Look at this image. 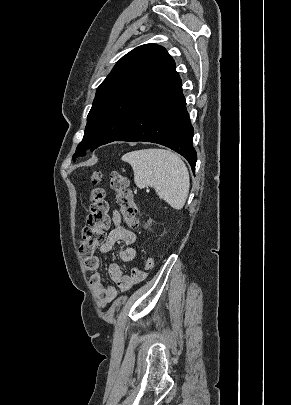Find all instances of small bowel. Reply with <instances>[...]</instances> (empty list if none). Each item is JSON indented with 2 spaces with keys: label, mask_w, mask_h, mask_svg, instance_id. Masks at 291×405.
Segmentation results:
<instances>
[{
  "label": "small bowel",
  "mask_w": 291,
  "mask_h": 405,
  "mask_svg": "<svg viewBox=\"0 0 291 405\" xmlns=\"http://www.w3.org/2000/svg\"><path fill=\"white\" fill-rule=\"evenodd\" d=\"M113 226L108 232L107 239L101 244L99 251L102 254H107L112 251L113 246L121 242L126 245L120 253L121 261L128 263L132 262L136 257V251L131 245L136 240V235L131 230L121 225V215L115 210L112 214ZM84 267L91 272L90 284L96 295L97 300L102 306L107 305L117 295V291L113 286H105L99 273L100 260L94 256L83 261ZM108 273L114 284L122 291L128 290L134 283L142 279L143 273L138 268H133L129 274H124L121 266L117 263L110 264Z\"/></svg>",
  "instance_id": "1"
}]
</instances>
